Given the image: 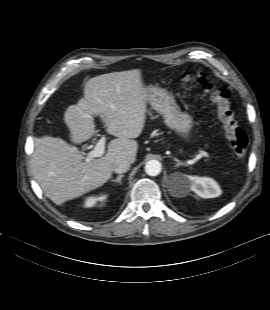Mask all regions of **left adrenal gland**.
<instances>
[{
    "label": "left adrenal gland",
    "instance_id": "a2214340",
    "mask_svg": "<svg viewBox=\"0 0 270 310\" xmlns=\"http://www.w3.org/2000/svg\"><path fill=\"white\" fill-rule=\"evenodd\" d=\"M173 160L176 162L175 167H179V166H187V164H185L184 162H181L180 160H178L177 158L173 157Z\"/></svg>",
    "mask_w": 270,
    "mask_h": 310
}]
</instances>
